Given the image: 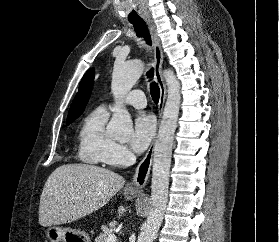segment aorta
I'll use <instances>...</instances> for the list:
<instances>
[{
	"label": "aorta",
	"instance_id": "aorta-1",
	"mask_svg": "<svg viewBox=\"0 0 279 242\" xmlns=\"http://www.w3.org/2000/svg\"><path fill=\"white\" fill-rule=\"evenodd\" d=\"M144 64L141 60H132L116 64L113 69L111 89L116 99L127 94L143 73ZM164 78L167 84V100L155 142L152 182L151 208L148 218L142 225L137 242H153L163 221L168 202L169 175L174 134L177 127L179 107L181 103L180 83L173 71L165 70ZM116 109L107 125V133L119 140L127 141L133 132L131 116L125 108Z\"/></svg>",
	"mask_w": 279,
	"mask_h": 242
}]
</instances>
